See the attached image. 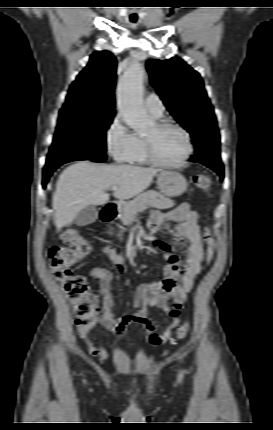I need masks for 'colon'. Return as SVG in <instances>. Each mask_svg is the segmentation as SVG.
<instances>
[{
	"mask_svg": "<svg viewBox=\"0 0 273 430\" xmlns=\"http://www.w3.org/2000/svg\"><path fill=\"white\" fill-rule=\"evenodd\" d=\"M193 183L205 192L210 191L211 179L206 174L195 175ZM61 238L62 244L49 250L48 265L54 279L61 284L72 304L79 335L88 340L97 325L100 307L95 296L91 293L86 278L75 274L71 267L90 253L91 246L73 229L65 230ZM204 238L207 243L205 259L206 262H210L216 251V242L209 228H205ZM186 333V329L177 332L173 343L182 339Z\"/></svg>",
	"mask_w": 273,
	"mask_h": 430,
	"instance_id": "5ec220e1",
	"label": "colon"
}]
</instances>
